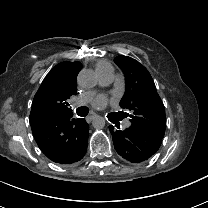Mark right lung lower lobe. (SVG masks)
<instances>
[{
  "instance_id": "obj_1",
  "label": "right lung lower lobe",
  "mask_w": 208,
  "mask_h": 208,
  "mask_svg": "<svg viewBox=\"0 0 208 208\" xmlns=\"http://www.w3.org/2000/svg\"><path fill=\"white\" fill-rule=\"evenodd\" d=\"M30 124L40 150L53 162L72 164L85 156L89 125L84 118L40 117Z\"/></svg>"
}]
</instances>
